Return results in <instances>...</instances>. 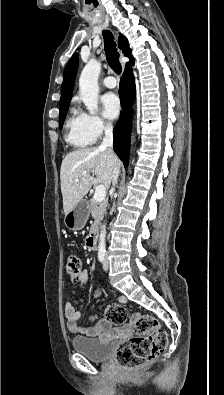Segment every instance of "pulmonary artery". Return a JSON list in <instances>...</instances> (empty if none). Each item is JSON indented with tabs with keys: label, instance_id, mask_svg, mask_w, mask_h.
I'll list each match as a JSON object with an SVG mask.
<instances>
[{
	"label": "pulmonary artery",
	"instance_id": "pulmonary-artery-1",
	"mask_svg": "<svg viewBox=\"0 0 224 395\" xmlns=\"http://www.w3.org/2000/svg\"><path fill=\"white\" fill-rule=\"evenodd\" d=\"M103 85L107 88H114L117 85L116 79L112 76L104 78Z\"/></svg>",
	"mask_w": 224,
	"mask_h": 395
}]
</instances>
